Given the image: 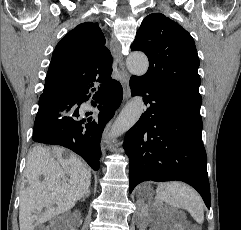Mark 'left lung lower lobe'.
Returning a JSON list of instances; mask_svg holds the SVG:
<instances>
[{
    "instance_id": "left-lung-lower-lobe-1",
    "label": "left lung lower lobe",
    "mask_w": 241,
    "mask_h": 230,
    "mask_svg": "<svg viewBox=\"0 0 241 230\" xmlns=\"http://www.w3.org/2000/svg\"><path fill=\"white\" fill-rule=\"evenodd\" d=\"M130 88L132 96H143L148 108L124 138L129 191L143 181L180 180L194 187L210 208L201 103L139 78H132Z\"/></svg>"
}]
</instances>
